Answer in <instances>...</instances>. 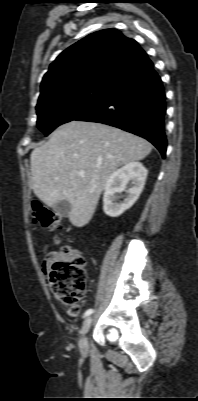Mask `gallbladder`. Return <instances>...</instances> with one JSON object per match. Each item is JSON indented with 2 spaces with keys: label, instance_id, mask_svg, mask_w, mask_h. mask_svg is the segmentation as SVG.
I'll list each match as a JSON object with an SVG mask.
<instances>
[{
  "label": "gallbladder",
  "instance_id": "gallbladder-1",
  "mask_svg": "<svg viewBox=\"0 0 198 401\" xmlns=\"http://www.w3.org/2000/svg\"><path fill=\"white\" fill-rule=\"evenodd\" d=\"M53 210L61 217H67L71 210V204L66 200H61L53 206Z\"/></svg>",
  "mask_w": 198,
  "mask_h": 401
}]
</instances>
